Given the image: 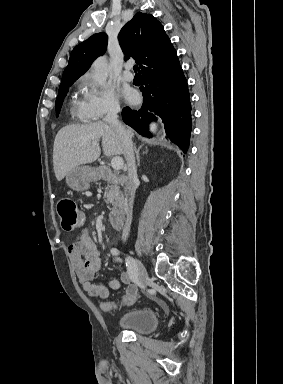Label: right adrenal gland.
I'll return each instance as SVG.
<instances>
[{
  "label": "right adrenal gland",
  "instance_id": "1",
  "mask_svg": "<svg viewBox=\"0 0 283 384\" xmlns=\"http://www.w3.org/2000/svg\"><path fill=\"white\" fill-rule=\"evenodd\" d=\"M142 146H143V144H142ZM142 146H139V148H136L135 144H134V146H133V148H134V152H135V154H136L137 166H140L139 152H140Z\"/></svg>",
  "mask_w": 283,
  "mask_h": 384
}]
</instances>
